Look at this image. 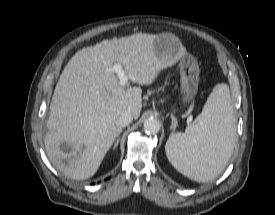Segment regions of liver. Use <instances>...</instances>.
<instances>
[{
  "mask_svg": "<svg viewBox=\"0 0 275 215\" xmlns=\"http://www.w3.org/2000/svg\"><path fill=\"white\" fill-rule=\"evenodd\" d=\"M157 35L135 33L117 40H104L78 51L64 68L54 90L48 132L44 139L47 156L64 175L74 179L92 177L111 148L121 127L118 116L129 111L134 119L142 109L140 87L124 89L109 69L124 67L133 83L149 85L159 72L186 54L182 46L177 57H159L153 43ZM66 143L70 150L64 152Z\"/></svg>",
  "mask_w": 275,
  "mask_h": 215,
  "instance_id": "obj_1",
  "label": "liver"
}]
</instances>
